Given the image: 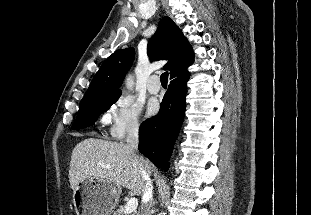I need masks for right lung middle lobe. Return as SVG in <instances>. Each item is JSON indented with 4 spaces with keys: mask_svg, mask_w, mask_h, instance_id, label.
Returning a JSON list of instances; mask_svg holds the SVG:
<instances>
[{
    "mask_svg": "<svg viewBox=\"0 0 311 215\" xmlns=\"http://www.w3.org/2000/svg\"><path fill=\"white\" fill-rule=\"evenodd\" d=\"M119 96H103L80 103L78 116L72 129L77 130L93 125L98 116L107 111L118 100Z\"/></svg>",
    "mask_w": 311,
    "mask_h": 215,
    "instance_id": "obj_1",
    "label": "right lung middle lobe"
}]
</instances>
